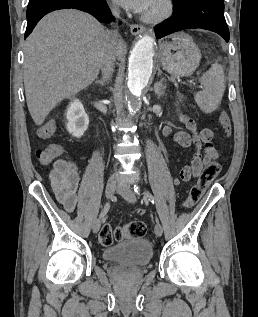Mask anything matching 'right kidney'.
<instances>
[{"instance_id":"obj_1","label":"right kidney","mask_w":258,"mask_h":317,"mask_svg":"<svg viewBox=\"0 0 258 317\" xmlns=\"http://www.w3.org/2000/svg\"><path fill=\"white\" fill-rule=\"evenodd\" d=\"M66 118L68 120L66 128L73 136L79 138V136H82L83 132L87 130L89 116L87 112H85L84 106L79 98H75L73 102H70L67 108Z\"/></svg>"}]
</instances>
